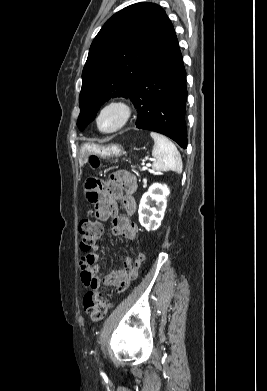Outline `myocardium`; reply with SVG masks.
Listing matches in <instances>:
<instances>
[{
  "instance_id": "obj_1",
  "label": "myocardium",
  "mask_w": 267,
  "mask_h": 391,
  "mask_svg": "<svg viewBox=\"0 0 267 391\" xmlns=\"http://www.w3.org/2000/svg\"><path fill=\"white\" fill-rule=\"evenodd\" d=\"M113 107L118 108L122 112L121 122L119 123V125L116 128H114L112 130H103L100 127L101 115L103 114L104 111H106L109 108H113ZM131 117H132V107H131L130 103L125 99L117 98V99L109 100L108 102H106L105 104H103L101 106V108L99 109V111L96 115L95 122H96V126H97L98 130L101 133L112 134V133H115V132L121 130L122 128H124L128 124V122L130 121Z\"/></svg>"
}]
</instances>
